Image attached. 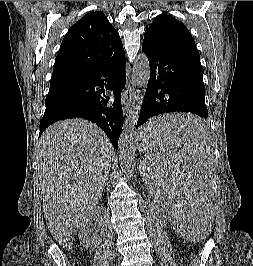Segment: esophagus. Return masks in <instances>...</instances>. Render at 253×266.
Listing matches in <instances>:
<instances>
[{"label":"esophagus","instance_id":"esophagus-1","mask_svg":"<svg viewBox=\"0 0 253 266\" xmlns=\"http://www.w3.org/2000/svg\"><path fill=\"white\" fill-rule=\"evenodd\" d=\"M132 86L129 81L126 82L125 88L122 93V108L124 115H127L130 111L132 104Z\"/></svg>","mask_w":253,"mask_h":266}]
</instances>
